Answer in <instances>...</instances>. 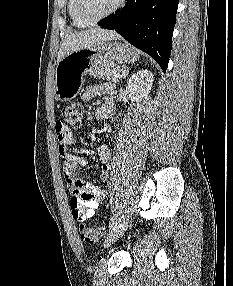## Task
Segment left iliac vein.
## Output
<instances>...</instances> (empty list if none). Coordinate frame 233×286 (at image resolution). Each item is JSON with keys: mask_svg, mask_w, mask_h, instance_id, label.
<instances>
[{"mask_svg": "<svg viewBox=\"0 0 233 286\" xmlns=\"http://www.w3.org/2000/svg\"><path fill=\"white\" fill-rule=\"evenodd\" d=\"M127 228V220L124 218L118 221L107 234L105 239V247L111 246L120 236L123 235L124 231Z\"/></svg>", "mask_w": 233, "mask_h": 286, "instance_id": "1", "label": "left iliac vein"}]
</instances>
